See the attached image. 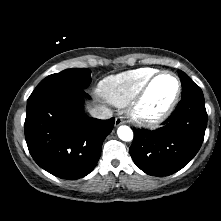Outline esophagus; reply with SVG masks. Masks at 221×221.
Here are the masks:
<instances>
[{
  "label": "esophagus",
  "mask_w": 221,
  "mask_h": 221,
  "mask_svg": "<svg viewBox=\"0 0 221 221\" xmlns=\"http://www.w3.org/2000/svg\"><path fill=\"white\" fill-rule=\"evenodd\" d=\"M125 122H126V121L123 119V117H117V118L115 119V126L118 127V126L124 124Z\"/></svg>",
  "instance_id": "1"
}]
</instances>
